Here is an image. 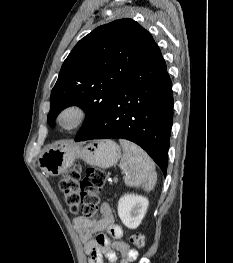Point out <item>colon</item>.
Wrapping results in <instances>:
<instances>
[{
    "label": "colon",
    "mask_w": 233,
    "mask_h": 263,
    "mask_svg": "<svg viewBox=\"0 0 233 263\" xmlns=\"http://www.w3.org/2000/svg\"><path fill=\"white\" fill-rule=\"evenodd\" d=\"M106 176L101 169L87 168L82 176L78 165L67 170L59 182L65 202L70 210L90 221L99 218V194L105 185ZM130 241L137 250L145 247V237L134 234Z\"/></svg>",
    "instance_id": "5ec220e1"
}]
</instances>
